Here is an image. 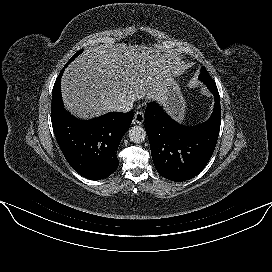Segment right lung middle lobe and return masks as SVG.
<instances>
[{"instance_id":"obj_1","label":"right lung middle lobe","mask_w":272,"mask_h":272,"mask_svg":"<svg viewBox=\"0 0 272 272\" xmlns=\"http://www.w3.org/2000/svg\"><path fill=\"white\" fill-rule=\"evenodd\" d=\"M82 51H83V50L78 51V52H77V53L69 60V62L65 65V67H66L72 60H74V59L76 58V56L79 55Z\"/></svg>"}]
</instances>
